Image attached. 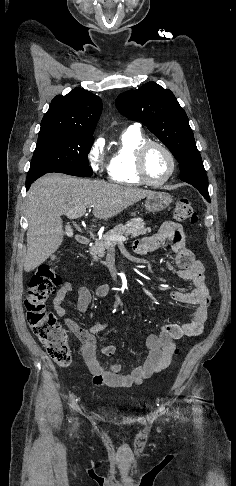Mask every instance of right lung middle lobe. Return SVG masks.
<instances>
[{
	"instance_id": "1",
	"label": "right lung middle lobe",
	"mask_w": 236,
	"mask_h": 486,
	"mask_svg": "<svg viewBox=\"0 0 236 486\" xmlns=\"http://www.w3.org/2000/svg\"><path fill=\"white\" fill-rule=\"evenodd\" d=\"M93 141L92 135L40 131L27 177L50 172L79 177L91 176L93 171L87 154Z\"/></svg>"
}]
</instances>
